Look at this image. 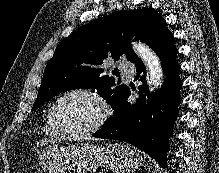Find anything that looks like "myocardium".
Instances as JSON below:
<instances>
[{"label": "myocardium", "instance_id": "1", "mask_svg": "<svg viewBox=\"0 0 219 173\" xmlns=\"http://www.w3.org/2000/svg\"><path fill=\"white\" fill-rule=\"evenodd\" d=\"M74 94L87 95L93 98L101 107V114L98 119L91 126L79 131H69L63 128L57 116V109L60 102L66 97ZM111 113V107L104 96L98 90L90 87H76L63 92L60 96L57 97L50 109V117L53 126L61 135L69 138H81L97 132L109 120Z\"/></svg>", "mask_w": 219, "mask_h": 173}]
</instances>
